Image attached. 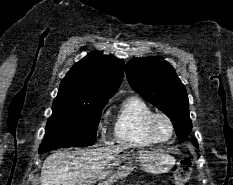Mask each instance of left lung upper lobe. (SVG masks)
Listing matches in <instances>:
<instances>
[{"label": "left lung upper lobe", "instance_id": "1", "mask_svg": "<svg viewBox=\"0 0 233 185\" xmlns=\"http://www.w3.org/2000/svg\"><path fill=\"white\" fill-rule=\"evenodd\" d=\"M129 84L172 121L179 142L192 129L188 96L174 68L160 57L133 58L126 65Z\"/></svg>", "mask_w": 233, "mask_h": 185}]
</instances>
